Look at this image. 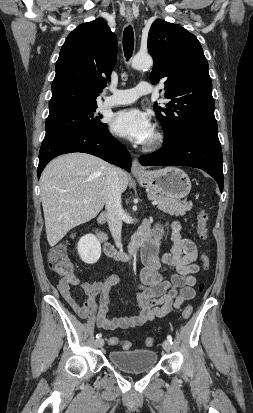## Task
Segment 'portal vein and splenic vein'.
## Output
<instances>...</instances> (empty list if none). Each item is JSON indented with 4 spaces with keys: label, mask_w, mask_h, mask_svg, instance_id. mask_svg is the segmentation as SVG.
I'll return each instance as SVG.
<instances>
[{
    "label": "portal vein and splenic vein",
    "mask_w": 253,
    "mask_h": 413,
    "mask_svg": "<svg viewBox=\"0 0 253 413\" xmlns=\"http://www.w3.org/2000/svg\"><path fill=\"white\" fill-rule=\"evenodd\" d=\"M83 202H84V203H87V202H88V200H84ZM152 204H153V205H157V204H158V202L154 200V201H152Z\"/></svg>",
    "instance_id": "obj_1"
}]
</instances>
